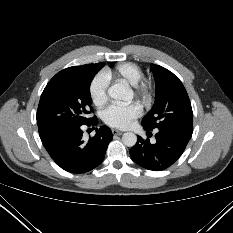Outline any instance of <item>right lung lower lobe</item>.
Here are the masks:
<instances>
[{"label": "right lung lower lobe", "mask_w": 233, "mask_h": 233, "mask_svg": "<svg viewBox=\"0 0 233 233\" xmlns=\"http://www.w3.org/2000/svg\"><path fill=\"white\" fill-rule=\"evenodd\" d=\"M93 118L86 125H96ZM82 125L59 126L39 132L41 141L55 163L71 173H86L99 166L112 140L110 128L96 129L88 142L82 140Z\"/></svg>", "instance_id": "obj_1"}]
</instances>
